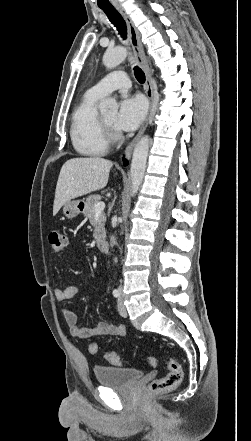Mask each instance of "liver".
<instances>
[{
  "label": "liver",
  "mask_w": 251,
  "mask_h": 441,
  "mask_svg": "<svg viewBox=\"0 0 251 441\" xmlns=\"http://www.w3.org/2000/svg\"><path fill=\"white\" fill-rule=\"evenodd\" d=\"M113 163L100 157H78L67 160L61 168L53 205L55 216L69 200L104 188Z\"/></svg>",
  "instance_id": "1"
}]
</instances>
